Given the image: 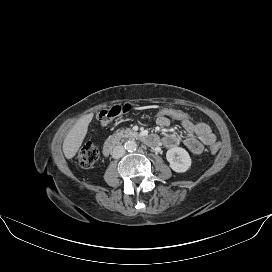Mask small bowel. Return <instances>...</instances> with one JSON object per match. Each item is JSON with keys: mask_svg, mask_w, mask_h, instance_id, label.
Here are the masks:
<instances>
[{"mask_svg": "<svg viewBox=\"0 0 272 272\" xmlns=\"http://www.w3.org/2000/svg\"><path fill=\"white\" fill-rule=\"evenodd\" d=\"M157 124L160 127H168L170 120L168 118L158 117ZM181 126L186 133L183 143L193 154L202 153L204 145H212L216 142L217 137L215 133L205 123H194L191 120H185L181 121ZM180 141L181 138L179 135L172 132L166 135L164 144L171 148L177 146Z\"/></svg>", "mask_w": 272, "mask_h": 272, "instance_id": "small-bowel-1", "label": "small bowel"}]
</instances>
